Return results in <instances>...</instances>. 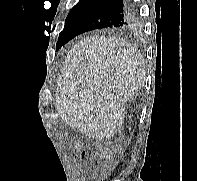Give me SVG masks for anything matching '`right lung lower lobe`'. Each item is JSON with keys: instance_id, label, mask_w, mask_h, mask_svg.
Here are the masks:
<instances>
[{"instance_id": "98d812e1", "label": "right lung lower lobe", "mask_w": 197, "mask_h": 181, "mask_svg": "<svg viewBox=\"0 0 197 181\" xmlns=\"http://www.w3.org/2000/svg\"><path fill=\"white\" fill-rule=\"evenodd\" d=\"M135 24L136 14L132 0H97L77 18L61 45L87 31L100 28H130Z\"/></svg>"}]
</instances>
